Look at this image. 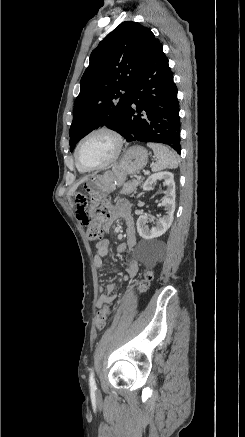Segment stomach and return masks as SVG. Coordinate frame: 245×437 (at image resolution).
Wrapping results in <instances>:
<instances>
[{
    "label": "stomach",
    "instance_id": "1",
    "mask_svg": "<svg viewBox=\"0 0 245 437\" xmlns=\"http://www.w3.org/2000/svg\"><path fill=\"white\" fill-rule=\"evenodd\" d=\"M147 162V150L135 145L126 150L120 163L111 170L101 175L88 176L82 184V189L89 196L91 205L98 206L109 193L125 182L127 175L137 173L146 166Z\"/></svg>",
    "mask_w": 245,
    "mask_h": 437
}]
</instances>
